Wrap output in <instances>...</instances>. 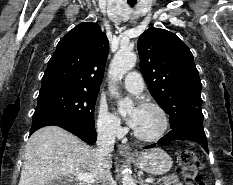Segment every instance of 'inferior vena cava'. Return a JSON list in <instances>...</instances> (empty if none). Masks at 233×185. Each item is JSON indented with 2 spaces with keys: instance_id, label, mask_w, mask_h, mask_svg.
<instances>
[{
  "instance_id": "obj_1",
  "label": "inferior vena cava",
  "mask_w": 233,
  "mask_h": 185,
  "mask_svg": "<svg viewBox=\"0 0 233 185\" xmlns=\"http://www.w3.org/2000/svg\"><path fill=\"white\" fill-rule=\"evenodd\" d=\"M115 131L110 127H100L97 129V149L96 156L99 166H102L107 157L114 150ZM100 182L102 185H116L111 175L110 169L101 170Z\"/></svg>"
}]
</instances>
